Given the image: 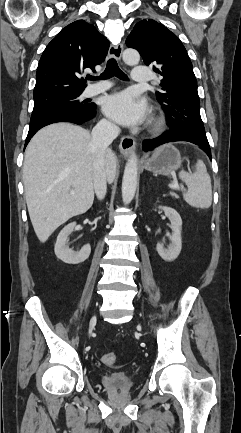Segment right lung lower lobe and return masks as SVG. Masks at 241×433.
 Wrapping results in <instances>:
<instances>
[{"instance_id": "obj_1", "label": "right lung lower lobe", "mask_w": 241, "mask_h": 433, "mask_svg": "<svg viewBox=\"0 0 241 433\" xmlns=\"http://www.w3.org/2000/svg\"><path fill=\"white\" fill-rule=\"evenodd\" d=\"M95 110L96 106L93 103H90L85 109L57 111L35 121L34 123H31L25 142V147L34 134L42 127L57 122H71L80 125L92 119L96 115Z\"/></svg>"}]
</instances>
